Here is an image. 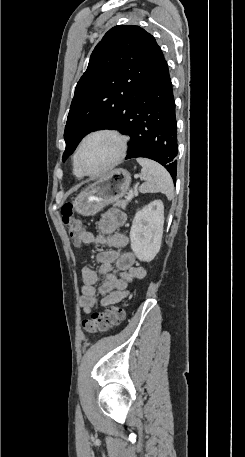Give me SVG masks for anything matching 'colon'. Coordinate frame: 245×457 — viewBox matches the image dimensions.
Wrapping results in <instances>:
<instances>
[{"label": "colon", "mask_w": 245, "mask_h": 457, "mask_svg": "<svg viewBox=\"0 0 245 457\" xmlns=\"http://www.w3.org/2000/svg\"><path fill=\"white\" fill-rule=\"evenodd\" d=\"M62 222L67 229L70 239L80 245L81 226L76 219L71 203H66L61 209ZM124 318V309L119 305L107 307L101 313H93L89 319L82 322V328L87 333L104 332L118 325Z\"/></svg>", "instance_id": "1"}]
</instances>
